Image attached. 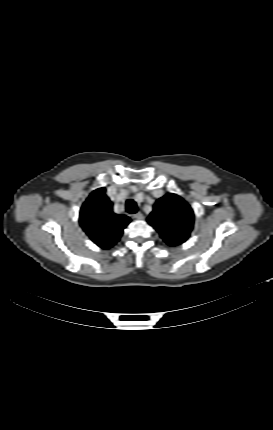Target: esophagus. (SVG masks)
Masks as SVG:
<instances>
[{
	"mask_svg": "<svg viewBox=\"0 0 273 430\" xmlns=\"http://www.w3.org/2000/svg\"><path fill=\"white\" fill-rule=\"evenodd\" d=\"M132 217L134 219H138V220H141V219L144 218V216H143V214L141 212H137L136 214H133Z\"/></svg>",
	"mask_w": 273,
	"mask_h": 430,
	"instance_id": "1",
	"label": "esophagus"
}]
</instances>
